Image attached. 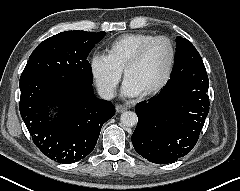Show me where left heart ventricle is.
I'll use <instances>...</instances> for the list:
<instances>
[{
    "mask_svg": "<svg viewBox=\"0 0 240 191\" xmlns=\"http://www.w3.org/2000/svg\"><path fill=\"white\" fill-rule=\"evenodd\" d=\"M169 59L168 44L165 41H157L149 47L142 61L128 71L126 78L130 79L143 93L163 79Z\"/></svg>",
    "mask_w": 240,
    "mask_h": 191,
    "instance_id": "obj_1",
    "label": "left heart ventricle"
}]
</instances>
